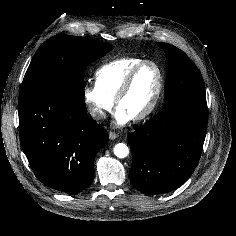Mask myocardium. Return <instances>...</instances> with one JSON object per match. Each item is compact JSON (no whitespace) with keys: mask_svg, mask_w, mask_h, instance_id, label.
<instances>
[{"mask_svg":"<svg viewBox=\"0 0 236 236\" xmlns=\"http://www.w3.org/2000/svg\"><path fill=\"white\" fill-rule=\"evenodd\" d=\"M146 65H152L157 69L158 77H159L158 87H157V90H156L155 95L153 97V100L150 103V105L148 106V108L145 109L142 113H140L132 118V120L135 122H139V121L145 120L148 117H150L155 112V110L157 109V107L161 101L162 94L164 91V85H165V74H164L162 67L154 60L142 61L141 63L136 65L133 69H131V71L128 73V75L124 79V81H123V83H122V85L115 97V104L118 107L120 101L125 97V95L130 90L137 73Z\"/></svg>","mask_w":236,"mask_h":236,"instance_id":"1","label":"myocardium"}]
</instances>
